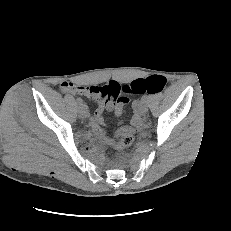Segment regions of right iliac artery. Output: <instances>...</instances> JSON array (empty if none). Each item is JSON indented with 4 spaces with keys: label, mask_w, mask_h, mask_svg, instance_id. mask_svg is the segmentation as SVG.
I'll return each instance as SVG.
<instances>
[{
    "label": "right iliac artery",
    "mask_w": 231,
    "mask_h": 231,
    "mask_svg": "<svg viewBox=\"0 0 231 231\" xmlns=\"http://www.w3.org/2000/svg\"><path fill=\"white\" fill-rule=\"evenodd\" d=\"M76 102H77V104H79V105H82V104H83V101H82L81 98H77V99H76Z\"/></svg>",
    "instance_id": "obj_1"
}]
</instances>
